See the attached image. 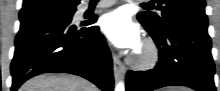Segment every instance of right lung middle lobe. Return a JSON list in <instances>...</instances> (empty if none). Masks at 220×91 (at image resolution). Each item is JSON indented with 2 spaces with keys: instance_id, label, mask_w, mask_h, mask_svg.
<instances>
[{
  "instance_id": "1",
  "label": "right lung middle lobe",
  "mask_w": 220,
  "mask_h": 91,
  "mask_svg": "<svg viewBox=\"0 0 220 91\" xmlns=\"http://www.w3.org/2000/svg\"><path fill=\"white\" fill-rule=\"evenodd\" d=\"M73 10H75V8H72V9H69V10H61V11L53 12V13H50V14H55V15L71 14V13H73Z\"/></svg>"
}]
</instances>
